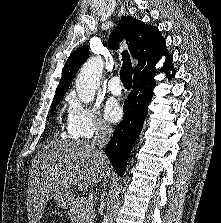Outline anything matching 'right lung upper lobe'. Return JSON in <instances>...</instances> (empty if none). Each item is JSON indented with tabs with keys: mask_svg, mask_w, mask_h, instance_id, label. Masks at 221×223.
<instances>
[{
	"mask_svg": "<svg viewBox=\"0 0 221 223\" xmlns=\"http://www.w3.org/2000/svg\"><path fill=\"white\" fill-rule=\"evenodd\" d=\"M124 38L131 55L138 60L134 77L156 73L155 64L163 55L166 56V61L162 70L172 65V56L166 50L165 40L157 27L146 25L133 17H124L110 35L109 48L118 49L119 42ZM88 56L89 50L86 46L78 48L69 56L54 99L63 98L73 77Z\"/></svg>",
	"mask_w": 221,
	"mask_h": 223,
	"instance_id": "1",
	"label": "right lung upper lobe"
}]
</instances>
